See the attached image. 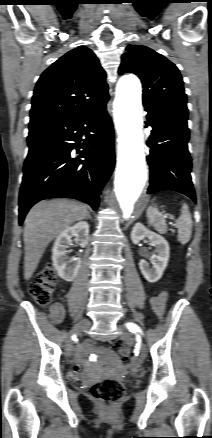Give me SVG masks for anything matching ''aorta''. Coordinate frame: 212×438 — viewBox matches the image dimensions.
<instances>
[{
  "instance_id": "aorta-1",
  "label": "aorta",
  "mask_w": 212,
  "mask_h": 438,
  "mask_svg": "<svg viewBox=\"0 0 212 438\" xmlns=\"http://www.w3.org/2000/svg\"><path fill=\"white\" fill-rule=\"evenodd\" d=\"M141 93L140 81L135 76H124L117 84L114 121L119 144L114 185L118 209L124 219L133 215L147 180Z\"/></svg>"
}]
</instances>
